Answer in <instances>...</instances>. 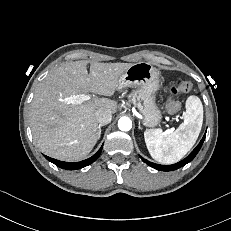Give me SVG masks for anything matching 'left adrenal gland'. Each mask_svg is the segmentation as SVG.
I'll return each mask as SVG.
<instances>
[{"instance_id":"left-adrenal-gland-1","label":"left adrenal gland","mask_w":231,"mask_h":231,"mask_svg":"<svg viewBox=\"0 0 231 231\" xmlns=\"http://www.w3.org/2000/svg\"><path fill=\"white\" fill-rule=\"evenodd\" d=\"M139 129H142L141 126H140V122H139Z\"/></svg>"}]
</instances>
